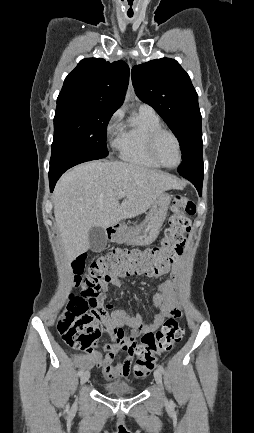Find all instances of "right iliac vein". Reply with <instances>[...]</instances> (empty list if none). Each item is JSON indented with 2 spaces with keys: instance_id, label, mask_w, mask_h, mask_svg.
I'll return each mask as SVG.
<instances>
[{
  "instance_id": "63e3f726",
  "label": "right iliac vein",
  "mask_w": 254,
  "mask_h": 433,
  "mask_svg": "<svg viewBox=\"0 0 254 433\" xmlns=\"http://www.w3.org/2000/svg\"><path fill=\"white\" fill-rule=\"evenodd\" d=\"M88 379H89V372L88 371H84L81 374V377H80V383H81V385L85 384L88 381Z\"/></svg>"
}]
</instances>
